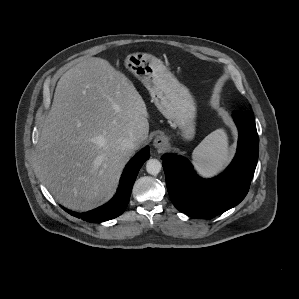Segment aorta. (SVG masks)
I'll return each instance as SVG.
<instances>
[{
  "mask_svg": "<svg viewBox=\"0 0 299 299\" xmlns=\"http://www.w3.org/2000/svg\"><path fill=\"white\" fill-rule=\"evenodd\" d=\"M162 164L157 159H149L146 163V170L151 175H157L161 171Z\"/></svg>",
  "mask_w": 299,
  "mask_h": 299,
  "instance_id": "obj_1",
  "label": "aorta"
}]
</instances>
